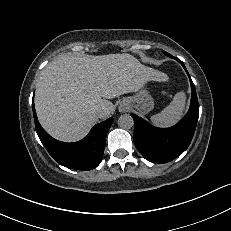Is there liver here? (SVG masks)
I'll return each mask as SVG.
<instances>
[{
	"label": "liver",
	"mask_w": 231,
	"mask_h": 231,
	"mask_svg": "<svg viewBox=\"0 0 231 231\" xmlns=\"http://www.w3.org/2000/svg\"><path fill=\"white\" fill-rule=\"evenodd\" d=\"M165 73L142 65L130 54H64L51 61L36 85L35 108L42 127L54 138H84L115 106L109 99L136 92L147 81H167ZM102 109L99 117L97 111Z\"/></svg>",
	"instance_id": "1"
}]
</instances>
